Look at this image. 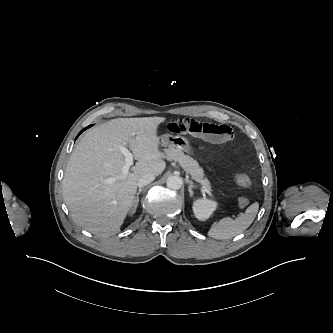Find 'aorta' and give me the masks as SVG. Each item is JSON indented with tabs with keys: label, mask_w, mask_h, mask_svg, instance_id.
Wrapping results in <instances>:
<instances>
[{
	"label": "aorta",
	"mask_w": 333,
	"mask_h": 333,
	"mask_svg": "<svg viewBox=\"0 0 333 333\" xmlns=\"http://www.w3.org/2000/svg\"><path fill=\"white\" fill-rule=\"evenodd\" d=\"M183 181L179 176H170L167 179V187L172 190H178L182 187Z\"/></svg>",
	"instance_id": "762f6f07"
}]
</instances>
